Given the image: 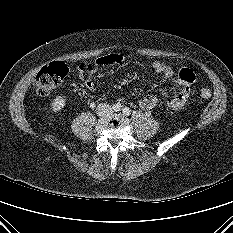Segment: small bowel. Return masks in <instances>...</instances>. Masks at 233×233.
Instances as JSON below:
<instances>
[{"label":"small bowel","instance_id":"obj_1","mask_svg":"<svg viewBox=\"0 0 233 233\" xmlns=\"http://www.w3.org/2000/svg\"><path fill=\"white\" fill-rule=\"evenodd\" d=\"M126 59L127 57L120 53H112L101 56L97 58L93 63L81 64L80 69L82 76H84L87 67L90 65L92 66L91 72H93L97 67L112 64H120L124 62ZM152 68L156 74L162 75L166 81H171L174 84L182 86V89L166 103V106L171 110L181 109L185 105L189 97V85L194 81L186 79L185 73L193 74V72L187 68H181L180 70L175 72L173 68L167 66L166 64L160 61H154L152 63ZM84 85L88 90H94L95 88V84L90 77L85 78ZM158 104L159 99L154 94L147 95L139 101V107L146 112H150Z\"/></svg>","mask_w":233,"mask_h":233}]
</instances>
